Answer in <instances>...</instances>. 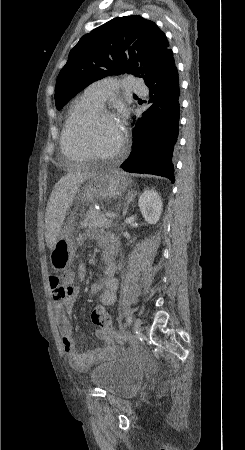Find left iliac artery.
Segmentation results:
<instances>
[{"instance_id":"obj_1","label":"left iliac artery","mask_w":245,"mask_h":450,"mask_svg":"<svg viewBox=\"0 0 245 450\" xmlns=\"http://www.w3.org/2000/svg\"><path fill=\"white\" fill-rule=\"evenodd\" d=\"M131 323H132V318H131V316H128L127 325L129 326V325H131Z\"/></svg>"}]
</instances>
